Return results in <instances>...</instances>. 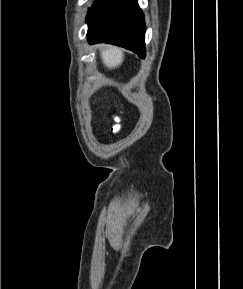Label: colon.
I'll return each mask as SVG.
<instances>
[{"mask_svg":"<svg viewBox=\"0 0 243 289\" xmlns=\"http://www.w3.org/2000/svg\"><path fill=\"white\" fill-rule=\"evenodd\" d=\"M115 119H116V121H119L118 117H116ZM119 130H120V125L119 124L114 125L113 128H112L113 132H118Z\"/></svg>","mask_w":243,"mask_h":289,"instance_id":"5ec220e1","label":"colon"}]
</instances>
